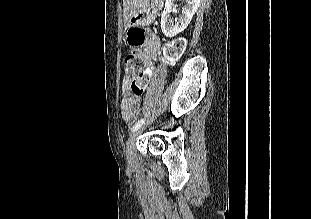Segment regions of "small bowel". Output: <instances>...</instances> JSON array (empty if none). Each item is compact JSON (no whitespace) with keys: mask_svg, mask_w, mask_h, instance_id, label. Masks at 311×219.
Segmentation results:
<instances>
[{"mask_svg":"<svg viewBox=\"0 0 311 219\" xmlns=\"http://www.w3.org/2000/svg\"><path fill=\"white\" fill-rule=\"evenodd\" d=\"M132 29L128 33L129 39L132 38ZM146 46H147L146 58L147 61L150 62L154 60L157 55V51L159 48V40L154 35H151L147 41ZM129 83L130 79L128 77H124L122 80V99L120 103L122 117L127 122L133 121L140 111V104L138 97L130 93Z\"/></svg>","mask_w":311,"mask_h":219,"instance_id":"c3829d8e","label":"small bowel"}]
</instances>
